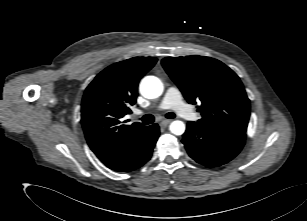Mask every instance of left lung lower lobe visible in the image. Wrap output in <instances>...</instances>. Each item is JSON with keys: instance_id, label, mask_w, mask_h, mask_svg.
Returning <instances> with one entry per match:
<instances>
[{"instance_id": "1", "label": "left lung lower lobe", "mask_w": 307, "mask_h": 221, "mask_svg": "<svg viewBox=\"0 0 307 221\" xmlns=\"http://www.w3.org/2000/svg\"><path fill=\"white\" fill-rule=\"evenodd\" d=\"M245 139L244 132L189 121L182 142L192 159L213 168L231 161L243 148Z\"/></svg>"}]
</instances>
